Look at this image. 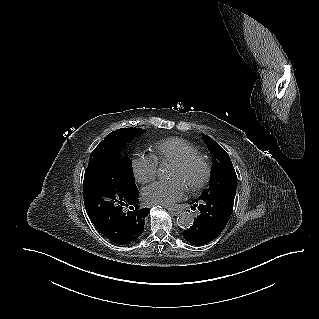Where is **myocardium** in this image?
Returning <instances> with one entry per match:
<instances>
[{
  "instance_id": "obj_1",
  "label": "myocardium",
  "mask_w": 319,
  "mask_h": 319,
  "mask_svg": "<svg viewBox=\"0 0 319 319\" xmlns=\"http://www.w3.org/2000/svg\"><path fill=\"white\" fill-rule=\"evenodd\" d=\"M194 161H200L203 164L204 173L202 178L197 183L189 186V189L191 191H196L204 187L208 183L211 176V164L209 159L204 154L195 152V153L188 154L171 164L178 168H185Z\"/></svg>"
}]
</instances>
